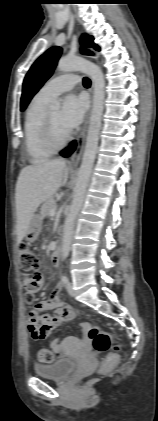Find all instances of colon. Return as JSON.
<instances>
[{
    "instance_id": "obj_1",
    "label": "colon",
    "mask_w": 158,
    "mask_h": 421,
    "mask_svg": "<svg viewBox=\"0 0 158 421\" xmlns=\"http://www.w3.org/2000/svg\"><path fill=\"white\" fill-rule=\"evenodd\" d=\"M19 264L23 272V285L27 293L30 295L29 300L32 301L31 295L40 288V276L38 273L39 260L36 254L29 248L26 243H21L18 248ZM88 337L92 342V347L96 352H105L112 349L101 364V371L105 372L114 368L119 362V345L113 344V336L98 327L88 329ZM40 362L51 363L55 355L47 348H40L37 352Z\"/></svg>"
}]
</instances>
